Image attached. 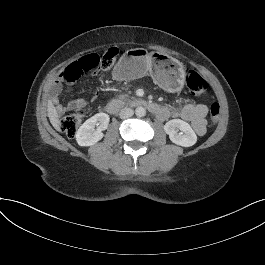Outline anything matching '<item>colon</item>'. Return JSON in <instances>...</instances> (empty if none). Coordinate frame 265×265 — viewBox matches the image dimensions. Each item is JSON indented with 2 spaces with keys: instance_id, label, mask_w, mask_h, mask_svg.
I'll list each match as a JSON object with an SVG mask.
<instances>
[{
  "instance_id": "colon-1",
  "label": "colon",
  "mask_w": 265,
  "mask_h": 265,
  "mask_svg": "<svg viewBox=\"0 0 265 265\" xmlns=\"http://www.w3.org/2000/svg\"><path fill=\"white\" fill-rule=\"evenodd\" d=\"M117 54V50L115 48H111L107 50L102 56L95 53L86 55L80 58L78 61L70 64L61 73L60 77L64 81L73 82L78 79L84 72L91 70H109L114 65ZM185 83L189 92L194 96H201L208 89L207 80L195 70H188L186 72ZM84 115V110H78L61 118L59 122L61 131L64 132L68 137L74 136L82 122ZM219 115L220 105L218 103H213L210 107L211 126H215L217 124Z\"/></svg>"
}]
</instances>
